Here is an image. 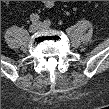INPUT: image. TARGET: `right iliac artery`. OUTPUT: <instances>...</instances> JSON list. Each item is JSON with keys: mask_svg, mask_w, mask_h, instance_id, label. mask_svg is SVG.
Segmentation results:
<instances>
[{"mask_svg": "<svg viewBox=\"0 0 109 109\" xmlns=\"http://www.w3.org/2000/svg\"><path fill=\"white\" fill-rule=\"evenodd\" d=\"M39 15L38 14H32L31 16H30V20L32 21V22H38L39 21Z\"/></svg>", "mask_w": 109, "mask_h": 109, "instance_id": "obj_1", "label": "right iliac artery"}]
</instances>
